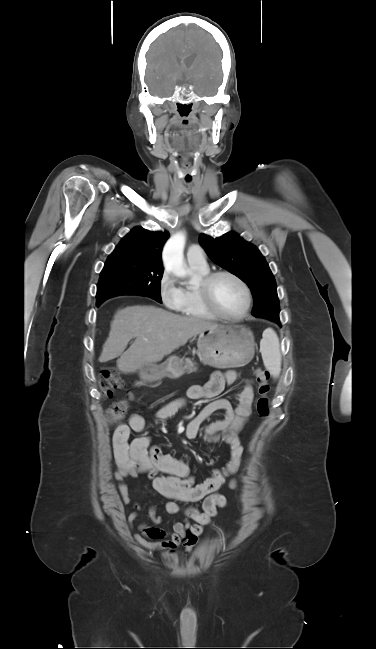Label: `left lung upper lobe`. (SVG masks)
Wrapping results in <instances>:
<instances>
[{
    "label": "left lung upper lobe",
    "instance_id": "1",
    "mask_svg": "<svg viewBox=\"0 0 376 649\" xmlns=\"http://www.w3.org/2000/svg\"><path fill=\"white\" fill-rule=\"evenodd\" d=\"M199 242L212 261L247 283L255 299L252 314L279 323L276 282L260 251L233 232L216 239L201 234Z\"/></svg>",
    "mask_w": 376,
    "mask_h": 649
}]
</instances>
